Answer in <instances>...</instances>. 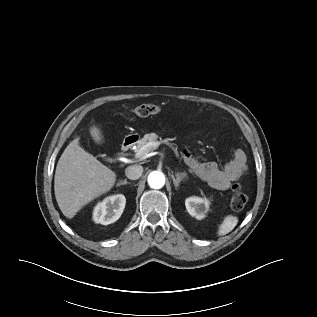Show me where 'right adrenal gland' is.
I'll return each mask as SVG.
<instances>
[{"instance_id": "obj_1", "label": "right adrenal gland", "mask_w": 317, "mask_h": 317, "mask_svg": "<svg viewBox=\"0 0 317 317\" xmlns=\"http://www.w3.org/2000/svg\"><path fill=\"white\" fill-rule=\"evenodd\" d=\"M126 184H131L130 182H128L126 179L124 181H121L117 184V186H122V185H126Z\"/></svg>"}]
</instances>
